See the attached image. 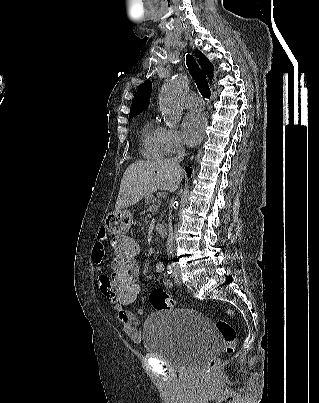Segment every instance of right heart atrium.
I'll use <instances>...</instances> for the list:
<instances>
[{
  "instance_id": "right-heart-atrium-1",
  "label": "right heart atrium",
  "mask_w": 319,
  "mask_h": 403,
  "mask_svg": "<svg viewBox=\"0 0 319 403\" xmlns=\"http://www.w3.org/2000/svg\"><path fill=\"white\" fill-rule=\"evenodd\" d=\"M161 135L164 154L172 155L181 150L182 140L176 129L162 127Z\"/></svg>"
}]
</instances>
